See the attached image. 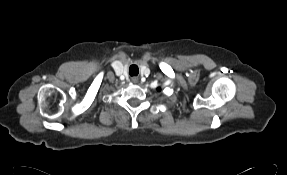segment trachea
Here are the masks:
<instances>
[{
  "label": "trachea",
  "instance_id": "3493384b",
  "mask_svg": "<svg viewBox=\"0 0 287 175\" xmlns=\"http://www.w3.org/2000/svg\"><path fill=\"white\" fill-rule=\"evenodd\" d=\"M131 70L136 71V74H135V75L138 74V67H137V66L132 65V66L130 67V71H131Z\"/></svg>",
  "mask_w": 287,
  "mask_h": 175
}]
</instances>
